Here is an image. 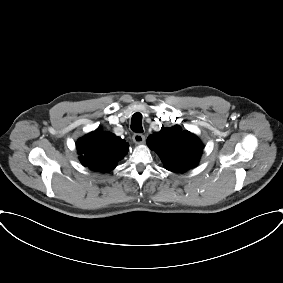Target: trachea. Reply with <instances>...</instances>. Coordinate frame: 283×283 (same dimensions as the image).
<instances>
[{"label": "trachea", "instance_id": "obj_1", "mask_svg": "<svg viewBox=\"0 0 283 283\" xmlns=\"http://www.w3.org/2000/svg\"><path fill=\"white\" fill-rule=\"evenodd\" d=\"M131 129L134 132H143L142 128V115L140 113H135L131 119Z\"/></svg>", "mask_w": 283, "mask_h": 283}]
</instances>
